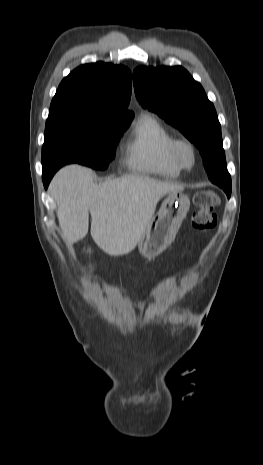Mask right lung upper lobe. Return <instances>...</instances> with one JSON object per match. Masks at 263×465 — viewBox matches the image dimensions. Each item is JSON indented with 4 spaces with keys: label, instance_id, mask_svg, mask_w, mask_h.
I'll use <instances>...</instances> for the list:
<instances>
[{
    "label": "right lung upper lobe",
    "instance_id": "cb5924a9",
    "mask_svg": "<svg viewBox=\"0 0 263 465\" xmlns=\"http://www.w3.org/2000/svg\"><path fill=\"white\" fill-rule=\"evenodd\" d=\"M132 75L122 65L97 62L81 65L60 83L50 109L86 108L133 117L127 110Z\"/></svg>",
    "mask_w": 263,
    "mask_h": 465
}]
</instances>
